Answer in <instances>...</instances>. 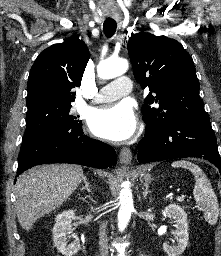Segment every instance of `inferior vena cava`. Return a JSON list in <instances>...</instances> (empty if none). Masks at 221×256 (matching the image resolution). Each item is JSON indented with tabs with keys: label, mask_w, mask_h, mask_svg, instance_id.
I'll return each instance as SVG.
<instances>
[{
	"label": "inferior vena cava",
	"mask_w": 221,
	"mask_h": 256,
	"mask_svg": "<svg viewBox=\"0 0 221 256\" xmlns=\"http://www.w3.org/2000/svg\"><path fill=\"white\" fill-rule=\"evenodd\" d=\"M99 245L101 256H106L108 253V241L106 236V226L103 223L99 229Z\"/></svg>",
	"instance_id": "obj_1"
}]
</instances>
